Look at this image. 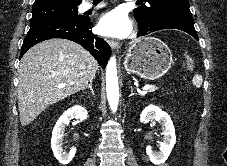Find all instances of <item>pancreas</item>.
Wrapping results in <instances>:
<instances>
[{"instance_id":"cf45deb5","label":"pancreas","mask_w":227,"mask_h":166,"mask_svg":"<svg viewBox=\"0 0 227 166\" xmlns=\"http://www.w3.org/2000/svg\"><path fill=\"white\" fill-rule=\"evenodd\" d=\"M155 90H158L157 86H151V88L149 89V92H153Z\"/></svg>"}]
</instances>
